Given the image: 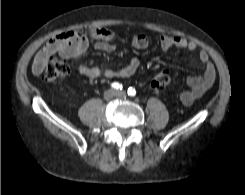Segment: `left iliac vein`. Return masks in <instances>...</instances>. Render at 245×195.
<instances>
[{
  "instance_id": "left-iliac-vein-1",
  "label": "left iliac vein",
  "mask_w": 245,
  "mask_h": 195,
  "mask_svg": "<svg viewBox=\"0 0 245 195\" xmlns=\"http://www.w3.org/2000/svg\"><path fill=\"white\" fill-rule=\"evenodd\" d=\"M116 95L123 97V96H125V92L124 91H116Z\"/></svg>"
}]
</instances>
